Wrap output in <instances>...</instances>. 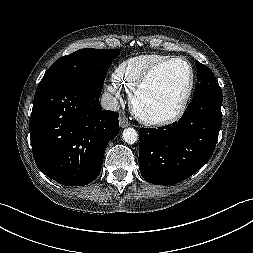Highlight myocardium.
Listing matches in <instances>:
<instances>
[{"label":"myocardium","instance_id":"obj_1","mask_svg":"<svg viewBox=\"0 0 253 253\" xmlns=\"http://www.w3.org/2000/svg\"><path fill=\"white\" fill-rule=\"evenodd\" d=\"M173 62L184 63L188 67L189 73H190L189 85L180 102V105L173 113L166 116H152V115L145 114L139 108V105H138L140 94L142 93V91L148 84L149 80L151 79V77L157 70ZM195 78H196L195 70L192 63L184 57H180V56L171 57V58H167L165 60H162L153 64L144 72V74L141 76V78L139 79V81L137 82L135 88L133 89L131 93L130 105H131L132 112L141 122L147 125L163 126V125H169L178 121L184 115L188 107V104L193 94V90L195 86Z\"/></svg>","mask_w":253,"mask_h":253}]
</instances>
